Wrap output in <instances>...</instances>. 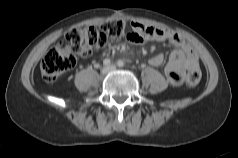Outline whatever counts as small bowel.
<instances>
[{"mask_svg": "<svg viewBox=\"0 0 238 158\" xmlns=\"http://www.w3.org/2000/svg\"><path fill=\"white\" fill-rule=\"evenodd\" d=\"M134 33L128 40L135 44H142L146 41H167L176 47L168 58L165 74L170 84H180L187 71L199 68V59L192 47L185 42L178 34L159 27L146 26L140 23H133ZM165 61L162 54L153 56L149 63L154 67L161 66Z\"/></svg>", "mask_w": 238, "mask_h": 158, "instance_id": "c3829d8e", "label": "small bowel"}]
</instances>
